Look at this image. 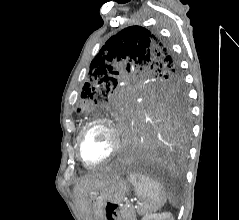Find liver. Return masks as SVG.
<instances>
[{"label": "liver", "mask_w": 239, "mask_h": 220, "mask_svg": "<svg viewBox=\"0 0 239 220\" xmlns=\"http://www.w3.org/2000/svg\"><path fill=\"white\" fill-rule=\"evenodd\" d=\"M114 177H119L117 172L108 171L101 175L86 177L75 186L74 193L82 211H88L87 194L93 189L106 185Z\"/></svg>", "instance_id": "1"}]
</instances>
